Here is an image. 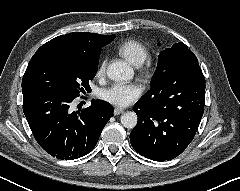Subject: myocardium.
I'll list each match as a JSON object with an SVG mask.
<instances>
[{"label":"myocardium","instance_id":"1","mask_svg":"<svg viewBox=\"0 0 240 191\" xmlns=\"http://www.w3.org/2000/svg\"><path fill=\"white\" fill-rule=\"evenodd\" d=\"M143 72H144V74H148V71H147V69H144V71H143Z\"/></svg>","mask_w":240,"mask_h":191}]
</instances>
